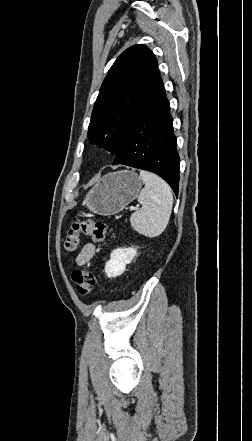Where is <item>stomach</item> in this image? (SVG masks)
I'll use <instances>...</instances> for the list:
<instances>
[{"instance_id":"1","label":"stomach","mask_w":252,"mask_h":441,"mask_svg":"<svg viewBox=\"0 0 252 441\" xmlns=\"http://www.w3.org/2000/svg\"><path fill=\"white\" fill-rule=\"evenodd\" d=\"M141 187L142 181L133 171L108 173L90 190L83 204L96 214L114 215L137 197Z\"/></svg>"}]
</instances>
